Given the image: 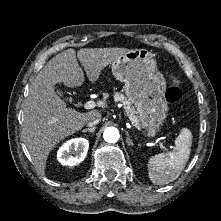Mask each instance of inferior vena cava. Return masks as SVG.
<instances>
[{"mask_svg":"<svg viewBox=\"0 0 221 221\" xmlns=\"http://www.w3.org/2000/svg\"><path fill=\"white\" fill-rule=\"evenodd\" d=\"M100 121H101V116L99 115V116L93 118L92 120H90V121L87 123V125H88L89 127H94V126H95L96 124H98Z\"/></svg>","mask_w":221,"mask_h":221,"instance_id":"inferior-vena-cava-1","label":"inferior vena cava"}]
</instances>
